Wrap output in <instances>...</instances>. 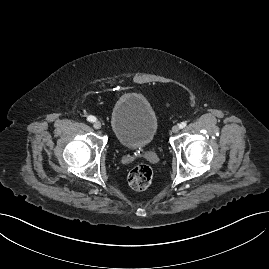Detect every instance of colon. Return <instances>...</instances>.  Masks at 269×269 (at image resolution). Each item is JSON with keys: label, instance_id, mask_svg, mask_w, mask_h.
Returning a JSON list of instances; mask_svg holds the SVG:
<instances>
[{"label": "colon", "instance_id": "colon-1", "mask_svg": "<svg viewBox=\"0 0 269 269\" xmlns=\"http://www.w3.org/2000/svg\"><path fill=\"white\" fill-rule=\"evenodd\" d=\"M153 179V171L146 164H139L133 167L128 174L129 185L135 190L147 189Z\"/></svg>", "mask_w": 269, "mask_h": 269}]
</instances>
